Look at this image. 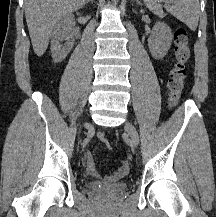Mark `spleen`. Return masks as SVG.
Returning a JSON list of instances; mask_svg holds the SVG:
<instances>
[{
	"instance_id": "1",
	"label": "spleen",
	"mask_w": 216,
	"mask_h": 217,
	"mask_svg": "<svg viewBox=\"0 0 216 217\" xmlns=\"http://www.w3.org/2000/svg\"><path fill=\"white\" fill-rule=\"evenodd\" d=\"M165 1V9L179 21L185 23L192 31L198 26L200 4L199 0H174L170 5L168 0Z\"/></svg>"
}]
</instances>
